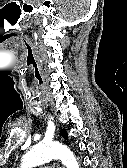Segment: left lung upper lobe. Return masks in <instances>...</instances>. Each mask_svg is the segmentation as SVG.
Masks as SVG:
<instances>
[{
  "instance_id": "left-lung-upper-lobe-1",
  "label": "left lung upper lobe",
  "mask_w": 127,
  "mask_h": 168,
  "mask_svg": "<svg viewBox=\"0 0 127 168\" xmlns=\"http://www.w3.org/2000/svg\"><path fill=\"white\" fill-rule=\"evenodd\" d=\"M60 135H61L62 137H64L65 139H68V134H67V132H66L65 129H63V130L60 131Z\"/></svg>"
}]
</instances>
